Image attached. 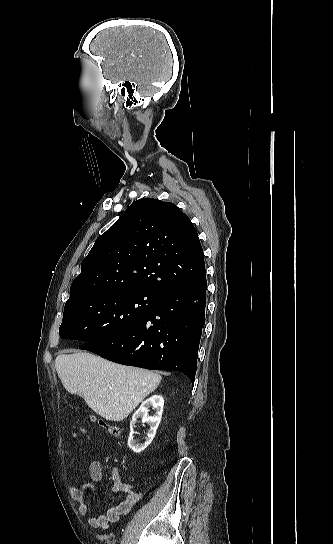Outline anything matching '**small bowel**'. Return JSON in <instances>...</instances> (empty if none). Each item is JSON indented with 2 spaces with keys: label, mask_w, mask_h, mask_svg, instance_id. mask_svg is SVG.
<instances>
[{
  "label": "small bowel",
  "mask_w": 333,
  "mask_h": 544,
  "mask_svg": "<svg viewBox=\"0 0 333 544\" xmlns=\"http://www.w3.org/2000/svg\"><path fill=\"white\" fill-rule=\"evenodd\" d=\"M103 467L99 460H93L89 465V474L94 481H100L102 478ZM112 492L122 493L125 498L119 501L116 505L110 507L103 513L92 515L88 522L97 529L106 530L111 523H116L122 516L131 512L135 504L141 499V494L136 492L132 485L124 483L118 470L112 471ZM87 489L94 490L92 484H83L77 487L73 484L69 485V492L72 498L78 503V511L80 515L85 516L88 513V505L85 502V492Z\"/></svg>",
  "instance_id": "c3829d8e"
}]
</instances>
